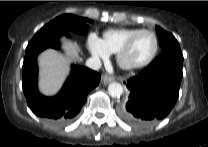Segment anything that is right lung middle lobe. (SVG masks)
Wrapping results in <instances>:
<instances>
[{
    "instance_id": "dd1d6c3e",
    "label": "right lung middle lobe",
    "mask_w": 208,
    "mask_h": 147,
    "mask_svg": "<svg viewBox=\"0 0 208 147\" xmlns=\"http://www.w3.org/2000/svg\"><path fill=\"white\" fill-rule=\"evenodd\" d=\"M88 18L75 16L72 14H63L43 26L32 38V40L41 39L50 36L63 29L73 31L77 34H85L89 28Z\"/></svg>"
}]
</instances>
